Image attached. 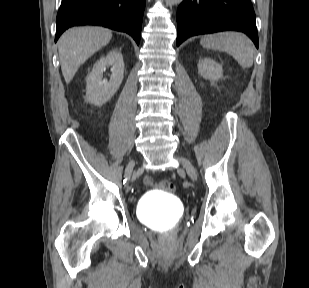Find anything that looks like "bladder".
<instances>
[{
	"label": "bladder",
	"mask_w": 309,
	"mask_h": 288,
	"mask_svg": "<svg viewBox=\"0 0 309 288\" xmlns=\"http://www.w3.org/2000/svg\"><path fill=\"white\" fill-rule=\"evenodd\" d=\"M139 219L152 228L176 225L183 214L178 200L173 194L162 192H148L137 203Z\"/></svg>",
	"instance_id": "1"
}]
</instances>
